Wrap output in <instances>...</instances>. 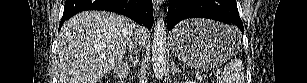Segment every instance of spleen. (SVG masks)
I'll list each match as a JSON object with an SVG mask.
<instances>
[{
    "label": "spleen",
    "mask_w": 307,
    "mask_h": 83,
    "mask_svg": "<svg viewBox=\"0 0 307 83\" xmlns=\"http://www.w3.org/2000/svg\"><path fill=\"white\" fill-rule=\"evenodd\" d=\"M217 83H245L242 61L235 58L227 63L222 74L217 77Z\"/></svg>",
    "instance_id": "3e777b00"
}]
</instances>
